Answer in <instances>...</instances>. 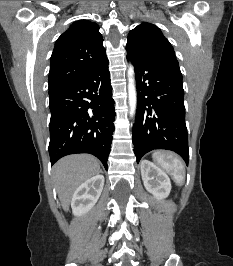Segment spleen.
<instances>
[{
	"instance_id": "3e777b00",
	"label": "spleen",
	"mask_w": 233,
	"mask_h": 266,
	"mask_svg": "<svg viewBox=\"0 0 233 266\" xmlns=\"http://www.w3.org/2000/svg\"><path fill=\"white\" fill-rule=\"evenodd\" d=\"M152 158L163 170L169 173L176 184L183 185L185 168L182 161L174 154L156 151Z\"/></svg>"
}]
</instances>
